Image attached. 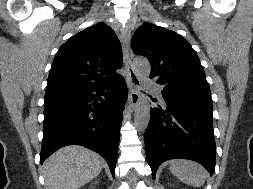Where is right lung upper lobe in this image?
I'll return each instance as SVG.
<instances>
[{
  "instance_id": "1",
  "label": "right lung upper lobe",
  "mask_w": 253,
  "mask_h": 189,
  "mask_svg": "<svg viewBox=\"0 0 253 189\" xmlns=\"http://www.w3.org/2000/svg\"><path fill=\"white\" fill-rule=\"evenodd\" d=\"M122 48L115 32L98 23L72 36L53 60L46 92L110 83L121 75Z\"/></svg>"
}]
</instances>
